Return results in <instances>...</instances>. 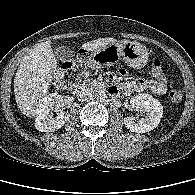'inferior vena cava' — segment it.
<instances>
[{
    "label": "inferior vena cava",
    "instance_id": "602c4592",
    "mask_svg": "<svg viewBox=\"0 0 195 195\" xmlns=\"http://www.w3.org/2000/svg\"><path fill=\"white\" fill-rule=\"evenodd\" d=\"M93 93L90 90L84 89L77 93L78 100L81 102L91 100L93 98Z\"/></svg>",
    "mask_w": 195,
    "mask_h": 195
}]
</instances>
